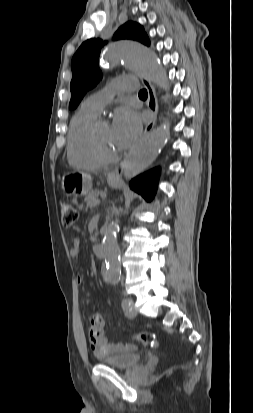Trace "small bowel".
I'll return each mask as SVG.
<instances>
[{"label": "small bowel", "instance_id": "c3829d8e", "mask_svg": "<svg viewBox=\"0 0 253 413\" xmlns=\"http://www.w3.org/2000/svg\"><path fill=\"white\" fill-rule=\"evenodd\" d=\"M71 255L77 257L80 255V248L78 244L71 250ZM78 282H82V278L78 277ZM104 320L101 315L93 314L90 318V325L87 331L88 341L92 350L98 356H107L118 352L124 348L122 344L110 343L103 331Z\"/></svg>", "mask_w": 253, "mask_h": 413}]
</instances>
